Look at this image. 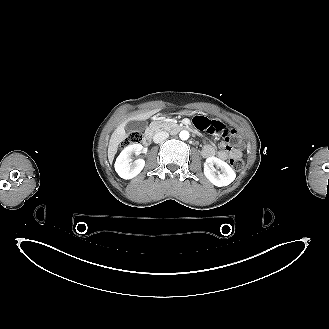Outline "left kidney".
I'll return each instance as SVG.
<instances>
[{
  "instance_id": "5707ae66",
  "label": "left kidney",
  "mask_w": 329,
  "mask_h": 329,
  "mask_svg": "<svg viewBox=\"0 0 329 329\" xmlns=\"http://www.w3.org/2000/svg\"><path fill=\"white\" fill-rule=\"evenodd\" d=\"M216 165L221 169V173L216 174L213 168ZM204 175L215 186H227L236 178L235 171L223 160L217 157H209L204 164Z\"/></svg>"
}]
</instances>
